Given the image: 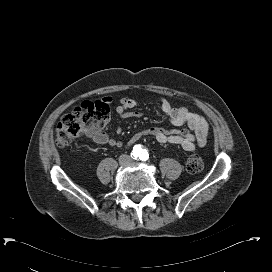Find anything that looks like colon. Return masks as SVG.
Masks as SVG:
<instances>
[{
  "mask_svg": "<svg viewBox=\"0 0 272 272\" xmlns=\"http://www.w3.org/2000/svg\"><path fill=\"white\" fill-rule=\"evenodd\" d=\"M109 121L110 107L106 98L85 101L61 118L56 128V144L65 147L90 131H100ZM186 169L190 173L201 172L203 161L198 153L188 156Z\"/></svg>",
  "mask_w": 272,
  "mask_h": 272,
  "instance_id": "obj_1",
  "label": "colon"
}]
</instances>
